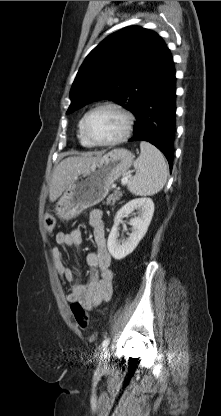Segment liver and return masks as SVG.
<instances>
[{"label":"liver","instance_id":"liver-1","mask_svg":"<svg viewBox=\"0 0 221 416\" xmlns=\"http://www.w3.org/2000/svg\"><path fill=\"white\" fill-rule=\"evenodd\" d=\"M100 158L101 155L71 156L62 160L53 170L50 183V202L56 201L77 174L97 162Z\"/></svg>","mask_w":221,"mask_h":416}]
</instances>
